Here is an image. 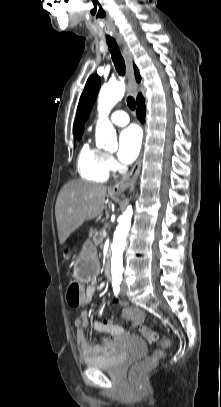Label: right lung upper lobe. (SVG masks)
I'll list each match as a JSON object with an SVG mask.
<instances>
[{"mask_svg": "<svg viewBox=\"0 0 221 407\" xmlns=\"http://www.w3.org/2000/svg\"><path fill=\"white\" fill-rule=\"evenodd\" d=\"M134 71H135L136 80H137V82H139L141 80V77H140V74H139L138 69L136 68V66H134ZM140 98H142L141 94L138 95L137 100L140 99Z\"/></svg>", "mask_w": 221, "mask_h": 407, "instance_id": "right-lung-upper-lobe-1", "label": "right lung upper lobe"}]
</instances>
